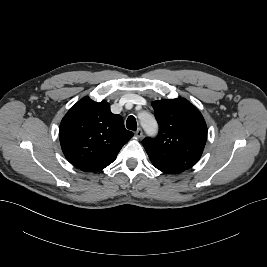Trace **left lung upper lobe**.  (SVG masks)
<instances>
[{
    "mask_svg": "<svg viewBox=\"0 0 267 267\" xmlns=\"http://www.w3.org/2000/svg\"><path fill=\"white\" fill-rule=\"evenodd\" d=\"M159 134L142 142L156 168L187 170L201 157L207 126L200 111L184 98L152 102Z\"/></svg>",
    "mask_w": 267,
    "mask_h": 267,
    "instance_id": "obj_1",
    "label": "left lung upper lobe"
}]
</instances>
